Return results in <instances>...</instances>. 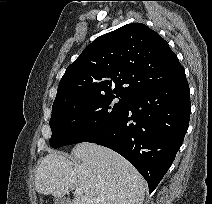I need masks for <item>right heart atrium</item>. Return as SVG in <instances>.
<instances>
[{
	"mask_svg": "<svg viewBox=\"0 0 212 204\" xmlns=\"http://www.w3.org/2000/svg\"><path fill=\"white\" fill-rule=\"evenodd\" d=\"M72 125H73L75 130H79L80 127H81V119L80 118H74L72 120Z\"/></svg>",
	"mask_w": 212,
	"mask_h": 204,
	"instance_id": "1",
	"label": "right heart atrium"
}]
</instances>
